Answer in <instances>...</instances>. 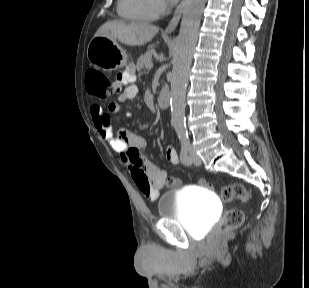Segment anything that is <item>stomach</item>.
<instances>
[{"label": "stomach", "instance_id": "stomach-1", "mask_svg": "<svg viewBox=\"0 0 309 288\" xmlns=\"http://www.w3.org/2000/svg\"><path fill=\"white\" fill-rule=\"evenodd\" d=\"M87 58L95 67L113 71L127 64L128 55L117 41L105 36H94L87 47Z\"/></svg>", "mask_w": 309, "mask_h": 288}]
</instances>
